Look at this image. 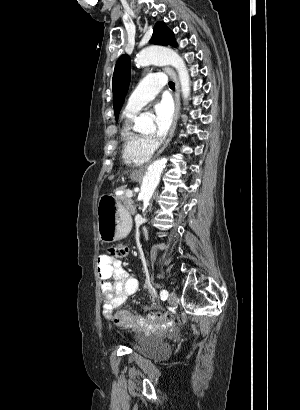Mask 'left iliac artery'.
Returning a JSON list of instances; mask_svg holds the SVG:
<instances>
[{
  "instance_id": "1",
  "label": "left iliac artery",
  "mask_w": 300,
  "mask_h": 410,
  "mask_svg": "<svg viewBox=\"0 0 300 410\" xmlns=\"http://www.w3.org/2000/svg\"><path fill=\"white\" fill-rule=\"evenodd\" d=\"M160 297H161L162 300H166L167 297H168V291L167 290H162L160 292Z\"/></svg>"
}]
</instances>
